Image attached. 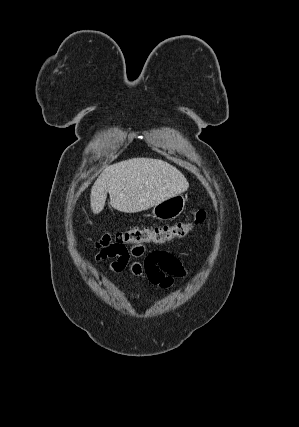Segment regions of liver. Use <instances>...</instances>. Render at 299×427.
Wrapping results in <instances>:
<instances>
[{
	"label": "liver",
	"mask_w": 299,
	"mask_h": 427,
	"mask_svg": "<svg viewBox=\"0 0 299 427\" xmlns=\"http://www.w3.org/2000/svg\"><path fill=\"white\" fill-rule=\"evenodd\" d=\"M188 188L185 176L169 163L152 158H132L103 170L91 189V210L99 214L104 209L107 193L114 209L136 213Z\"/></svg>",
	"instance_id": "6515ba94"
}]
</instances>
